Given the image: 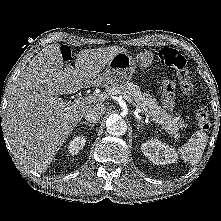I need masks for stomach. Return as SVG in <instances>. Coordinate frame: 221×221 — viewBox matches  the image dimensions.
Listing matches in <instances>:
<instances>
[{"label": "stomach", "instance_id": "obj_1", "mask_svg": "<svg viewBox=\"0 0 221 221\" xmlns=\"http://www.w3.org/2000/svg\"><path fill=\"white\" fill-rule=\"evenodd\" d=\"M154 60V53L150 50L140 51L136 57H132L127 52L116 54L108 63L104 73V84L120 85L132 78L137 65L142 69L149 67Z\"/></svg>", "mask_w": 221, "mask_h": 221}]
</instances>
